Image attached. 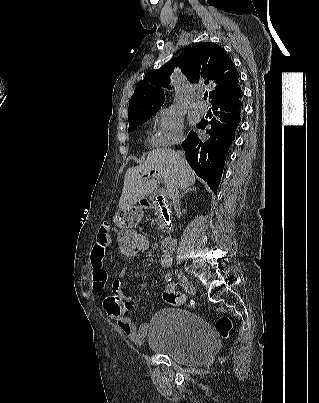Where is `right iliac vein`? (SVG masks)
Listing matches in <instances>:
<instances>
[{"label":"right iliac vein","instance_id":"1","mask_svg":"<svg viewBox=\"0 0 319 403\" xmlns=\"http://www.w3.org/2000/svg\"><path fill=\"white\" fill-rule=\"evenodd\" d=\"M176 275L178 278V281L180 285L186 290L187 292L194 294L195 293V287L192 284V282L180 271L176 270Z\"/></svg>","mask_w":319,"mask_h":403}]
</instances>
